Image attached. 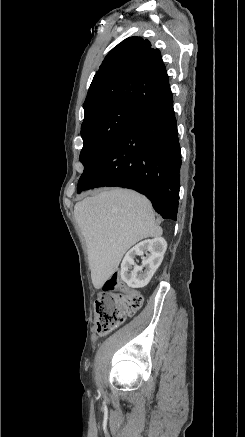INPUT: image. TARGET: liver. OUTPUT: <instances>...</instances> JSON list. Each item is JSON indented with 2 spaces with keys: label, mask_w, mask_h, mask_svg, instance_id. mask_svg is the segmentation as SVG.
Here are the masks:
<instances>
[{
  "label": "liver",
  "mask_w": 245,
  "mask_h": 437,
  "mask_svg": "<svg viewBox=\"0 0 245 437\" xmlns=\"http://www.w3.org/2000/svg\"><path fill=\"white\" fill-rule=\"evenodd\" d=\"M75 219L85 238L93 286L100 289L126 251L149 237H160L151 203L127 189L102 191L76 203Z\"/></svg>",
  "instance_id": "obj_1"
}]
</instances>
